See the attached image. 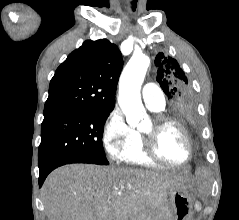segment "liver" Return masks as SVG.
Segmentation results:
<instances>
[{
    "label": "liver",
    "mask_w": 239,
    "mask_h": 220,
    "mask_svg": "<svg viewBox=\"0 0 239 220\" xmlns=\"http://www.w3.org/2000/svg\"><path fill=\"white\" fill-rule=\"evenodd\" d=\"M181 177L92 164L54 170L42 187L48 220H163L167 196Z\"/></svg>",
    "instance_id": "1"
}]
</instances>
